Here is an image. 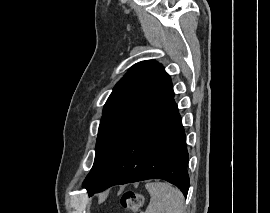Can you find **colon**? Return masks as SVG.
Wrapping results in <instances>:
<instances>
[{"mask_svg": "<svg viewBox=\"0 0 270 213\" xmlns=\"http://www.w3.org/2000/svg\"><path fill=\"white\" fill-rule=\"evenodd\" d=\"M143 201V196L132 190L126 191L121 197L122 207L134 212L142 207Z\"/></svg>", "mask_w": 270, "mask_h": 213, "instance_id": "obj_1", "label": "colon"}]
</instances>
